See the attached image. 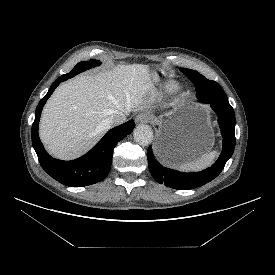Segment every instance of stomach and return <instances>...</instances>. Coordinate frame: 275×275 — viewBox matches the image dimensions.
<instances>
[{"label":"stomach","instance_id":"0dacf381","mask_svg":"<svg viewBox=\"0 0 275 275\" xmlns=\"http://www.w3.org/2000/svg\"><path fill=\"white\" fill-rule=\"evenodd\" d=\"M161 69L152 70L155 76ZM159 126L155 153L164 163L191 162L207 154L214 144V133L207 107L182 104L156 119Z\"/></svg>","mask_w":275,"mask_h":275}]
</instances>
